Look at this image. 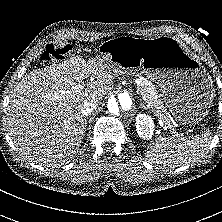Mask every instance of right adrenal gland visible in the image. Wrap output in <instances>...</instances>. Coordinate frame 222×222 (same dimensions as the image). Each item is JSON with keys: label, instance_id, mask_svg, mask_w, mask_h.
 <instances>
[{"label": "right adrenal gland", "instance_id": "right-adrenal-gland-1", "mask_svg": "<svg viewBox=\"0 0 222 222\" xmlns=\"http://www.w3.org/2000/svg\"><path fill=\"white\" fill-rule=\"evenodd\" d=\"M87 119H88V117H86L85 119H84V129L86 130V126H87Z\"/></svg>", "mask_w": 222, "mask_h": 222}]
</instances>
